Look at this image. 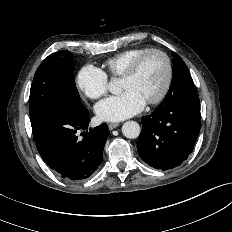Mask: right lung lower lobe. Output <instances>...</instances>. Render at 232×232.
Listing matches in <instances>:
<instances>
[{
  "instance_id": "98d812e1",
  "label": "right lung lower lobe",
  "mask_w": 232,
  "mask_h": 232,
  "mask_svg": "<svg viewBox=\"0 0 232 232\" xmlns=\"http://www.w3.org/2000/svg\"><path fill=\"white\" fill-rule=\"evenodd\" d=\"M87 108L62 107L47 121L42 133L34 139L44 162L61 177L83 180L90 177L102 162L109 129L107 124L88 128ZM83 130V139H78Z\"/></svg>"
}]
</instances>
